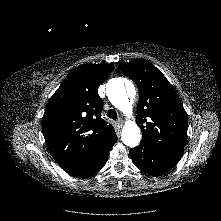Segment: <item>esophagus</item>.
I'll use <instances>...</instances> for the list:
<instances>
[{
    "instance_id": "1",
    "label": "esophagus",
    "mask_w": 221,
    "mask_h": 221,
    "mask_svg": "<svg viewBox=\"0 0 221 221\" xmlns=\"http://www.w3.org/2000/svg\"><path fill=\"white\" fill-rule=\"evenodd\" d=\"M117 122L120 126H122L124 124V121L122 119H118Z\"/></svg>"
}]
</instances>
